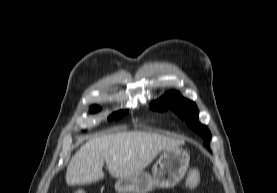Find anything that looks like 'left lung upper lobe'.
I'll list each match as a JSON object with an SVG mask.
<instances>
[{
  "mask_svg": "<svg viewBox=\"0 0 277 193\" xmlns=\"http://www.w3.org/2000/svg\"><path fill=\"white\" fill-rule=\"evenodd\" d=\"M150 107L157 110H166L171 108L181 118L185 119L188 125L198 134L202 135L203 141L207 147L211 138V133L205 125L199 121V111L196 104L188 99L183 98L177 92H169L159 100L152 102Z\"/></svg>",
  "mask_w": 277,
  "mask_h": 193,
  "instance_id": "1",
  "label": "left lung upper lobe"
}]
</instances>
